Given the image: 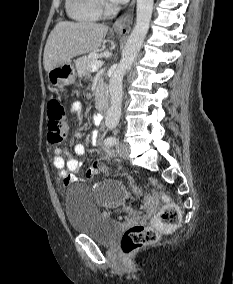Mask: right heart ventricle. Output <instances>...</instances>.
<instances>
[{
	"label": "right heart ventricle",
	"instance_id": "right-heart-ventricle-1",
	"mask_svg": "<svg viewBox=\"0 0 233 284\" xmlns=\"http://www.w3.org/2000/svg\"><path fill=\"white\" fill-rule=\"evenodd\" d=\"M70 18L79 22H95L102 16L99 0H66Z\"/></svg>",
	"mask_w": 233,
	"mask_h": 284
}]
</instances>
